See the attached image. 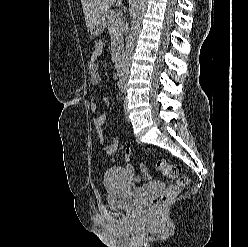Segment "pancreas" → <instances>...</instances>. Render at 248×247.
<instances>
[{
  "label": "pancreas",
  "instance_id": "obj_1",
  "mask_svg": "<svg viewBox=\"0 0 248 247\" xmlns=\"http://www.w3.org/2000/svg\"><path fill=\"white\" fill-rule=\"evenodd\" d=\"M106 25L110 34L116 31V42L118 49L120 50L123 45V31H124V22L116 15L114 11H107L106 15Z\"/></svg>",
  "mask_w": 248,
  "mask_h": 247
}]
</instances>
